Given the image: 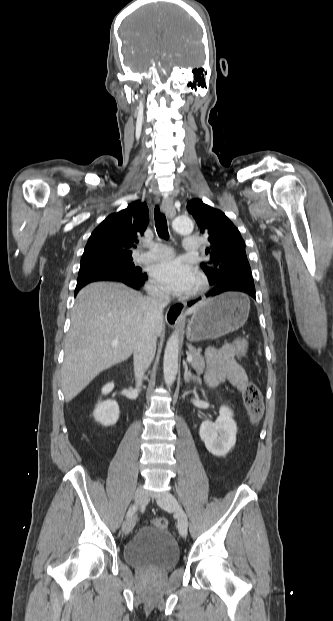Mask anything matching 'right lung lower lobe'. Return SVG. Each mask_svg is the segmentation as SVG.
I'll use <instances>...</instances> for the list:
<instances>
[{"label":"right lung lower lobe","mask_w":333,"mask_h":621,"mask_svg":"<svg viewBox=\"0 0 333 621\" xmlns=\"http://www.w3.org/2000/svg\"><path fill=\"white\" fill-rule=\"evenodd\" d=\"M147 280V275L145 273H141L140 275H117L103 272H89L78 275L77 285L75 288V295L79 292V290L87 285L88 283L95 281H115L124 283L136 290H139L142 285H144Z\"/></svg>","instance_id":"98d812e1"}]
</instances>
